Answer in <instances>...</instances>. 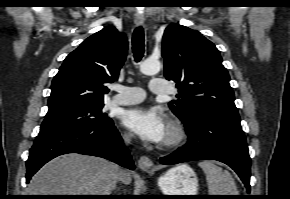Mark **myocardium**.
<instances>
[{"label": "myocardium", "mask_w": 290, "mask_h": 199, "mask_svg": "<svg viewBox=\"0 0 290 199\" xmlns=\"http://www.w3.org/2000/svg\"><path fill=\"white\" fill-rule=\"evenodd\" d=\"M168 137L163 140V149H173L181 145L187 137V132L183 123L177 118H170L167 122Z\"/></svg>", "instance_id": "obj_1"}]
</instances>
